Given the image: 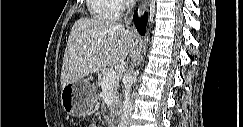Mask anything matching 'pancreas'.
I'll list each match as a JSON object with an SVG mask.
<instances>
[{"label":"pancreas","mask_w":243,"mask_h":127,"mask_svg":"<svg viewBox=\"0 0 243 127\" xmlns=\"http://www.w3.org/2000/svg\"><path fill=\"white\" fill-rule=\"evenodd\" d=\"M114 68L110 67L107 69H104L100 72L99 76H98V86L101 87L102 89H104L103 87V78L106 74H108L109 72L113 71ZM118 79H116L110 86H109V90L112 96V99L115 101L117 100V89H118Z\"/></svg>","instance_id":"pancreas-1"}]
</instances>
